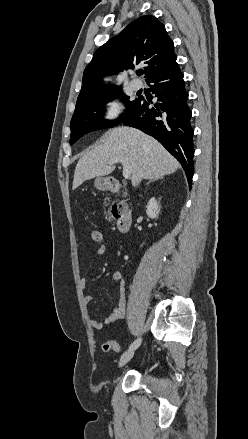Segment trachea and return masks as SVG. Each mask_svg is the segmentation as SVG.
Returning a JSON list of instances; mask_svg holds the SVG:
<instances>
[{"label":"trachea","mask_w":248,"mask_h":439,"mask_svg":"<svg viewBox=\"0 0 248 439\" xmlns=\"http://www.w3.org/2000/svg\"><path fill=\"white\" fill-rule=\"evenodd\" d=\"M137 75H138V76L143 75V70H138V71H137Z\"/></svg>","instance_id":"3493384b"}]
</instances>
